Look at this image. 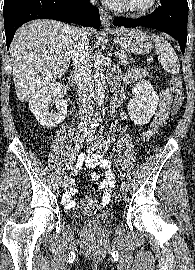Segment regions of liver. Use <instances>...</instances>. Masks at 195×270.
Wrapping results in <instances>:
<instances>
[{"label":"liver","instance_id":"liver-1","mask_svg":"<svg viewBox=\"0 0 195 270\" xmlns=\"http://www.w3.org/2000/svg\"><path fill=\"white\" fill-rule=\"evenodd\" d=\"M78 28L54 20H35L20 27L11 43L13 80L21 102L53 83L68 69ZM86 31L91 35L90 30Z\"/></svg>","mask_w":195,"mask_h":270}]
</instances>
